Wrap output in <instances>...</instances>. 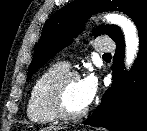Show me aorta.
Instances as JSON below:
<instances>
[{"mask_svg":"<svg viewBox=\"0 0 147 131\" xmlns=\"http://www.w3.org/2000/svg\"><path fill=\"white\" fill-rule=\"evenodd\" d=\"M105 19L111 24L120 26L124 33L126 44L125 64L129 68L133 64L138 52L139 38L137 29L131 20L122 15L108 14L105 16Z\"/></svg>","mask_w":147,"mask_h":131,"instance_id":"obj_1","label":"aorta"}]
</instances>
